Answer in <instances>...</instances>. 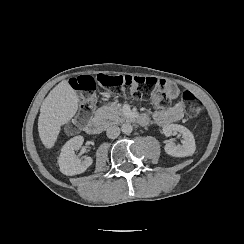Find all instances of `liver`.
<instances>
[{
	"label": "liver",
	"mask_w": 244,
	"mask_h": 244,
	"mask_svg": "<svg viewBox=\"0 0 244 244\" xmlns=\"http://www.w3.org/2000/svg\"><path fill=\"white\" fill-rule=\"evenodd\" d=\"M78 108L79 98L68 81H61L50 91L40 107L37 127L45 149L54 148L62 126L71 121Z\"/></svg>",
	"instance_id": "6515ba94"
}]
</instances>
